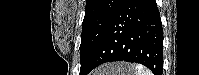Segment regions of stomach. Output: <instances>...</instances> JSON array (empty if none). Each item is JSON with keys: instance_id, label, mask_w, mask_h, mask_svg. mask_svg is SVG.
I'll use <instances>...</instances> for the list:
<instances>
[{"instance_id": "1", "label": "stomach", "mask_w": 199, "mask_h": 75, "mask_svg": "<svg viewBox=\"0 0 199 75\" xmlns=\"http://www.w3.org/2000/svg\"><path fill=\"white\" fill-rule=\"evenodd\" d=\"M111 67H113L114 70H112ZM132 69L133 67L131 65L125 64V63L108 64L104 66L102 74L103 75H129Z\"/></svg>"}]
</instances>
